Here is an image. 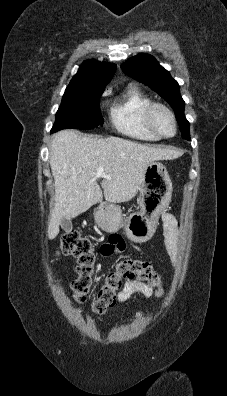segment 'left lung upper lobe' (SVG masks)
<instances>
[{
    "label": "left lung upper lobe",
    "mask_w": 227,
    "mask_h": 396,
    "mask_svg": "<svg viewBox=\"0 0 227 396\" xmlns=\"http://www.w3.org/2000/svg\"><path fill=\"white\" fill-rule=\"evenodd\" d=\"M128 76L152 88L174 109L182 138L190 140L189 122L184 116L185 102L180 95L178 83L170 76L157 60L149 54H139L121 65Z\"/></svg>",
    "instance_id": "left-lung-upper-lobe-1"
}]
</instances>
